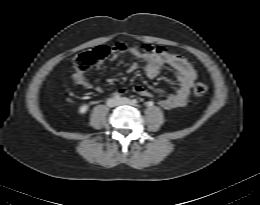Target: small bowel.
<instances>
[{
  "label": "small bowel",
  "instance_id": "small-bowel-1",
  "mask_svg": "<svg viewBox=\"0 0 260 205\" xmlns=\"http://www.w3.org/2000/svg\"><path fill=\"white\" fill-rule=\"evenodd\" d=\"M126 50L133 54L138 63H133L128 67L129 72L142 69L149 78H155L160 73L161 69L165 65H169L176 71L178 79V88L175 93L169 94L159 101L160 107L169 110L174 108L183 107L186 105L190 90L197 77L196 70L191 63L184 57L168 53L164 56L156 55L154 53H143L137 49L134 44H129ZM121 50L119 48H112V59H117ZM98 69L102 68V64L97 66ZM71 79L76 84L83 86L86 89H94L96 92H102L100 87H93L87 79L84 72L75 71L71 74ZM135 93L143 97L151 96V92L141 85L133 86L131 88H120L115 92V95L123 96L127 93Z\"/></svg>",
  "mask_w": 260,
  "mask_h": 205
}]
</instances>
